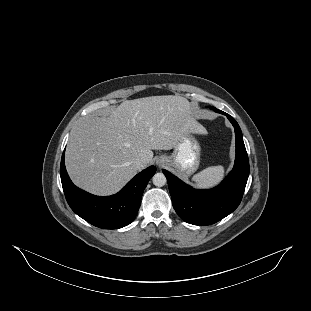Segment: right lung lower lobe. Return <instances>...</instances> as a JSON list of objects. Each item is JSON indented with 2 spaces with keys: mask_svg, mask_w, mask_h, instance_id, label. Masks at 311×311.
I'll list each match as a JSON object with an SVG mask.
<instances>
[{
  "mask_svg": "<svg viewBox=\"0 0 311 311\" xmlns=\"http://www.w3.org/2000/svg\"><path fill=\"white\" fill-rule=\"evenodd\" d=\"M61 159L60 176L66 200L71 209L90 224L103 229H118L130 224L141 204L143 191L155 174L156 167L150 166L137 174L117 194L99 197L76 187L70 180Z\"/></svg>",
  "mask_w": 311,
  "mask_h": 311,
  "instance_id": "1",
  "label": "right lung lower lobe"
}]
</instances>
